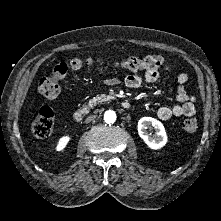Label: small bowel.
Returning a JSON list of instances; mask_svg holds the SVG:
<instances>
[{"label":"small bowel","mask_w":221,"mask_h":221,"mask_svg":"<svg viewBox=\"0 0 221 221\" xmlns=\"http://www.w3.org/2000/svg\"><path fill=\"white\" fill-rule=\"evenodd\" d=\"M166 70L170 69L168 64L165 68ZM159 77V73L156 71H145L144 75L129 74L123 80L119 78H110L106 79L105 83L108 85H119L124 84L128 88H138L143 83H152L155 82ZM188 75L186 73H179L177 75V82L179 84L176 93L177 103L171 106H162L159 107L155 115L159 120L165 121L173 117H193L196 114L195 98L191 96L185 84L188 82Z\"/></svg>","instance_id":"obj_1"}]
</instances>
